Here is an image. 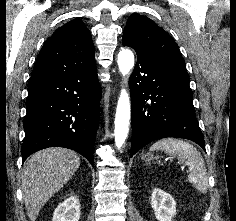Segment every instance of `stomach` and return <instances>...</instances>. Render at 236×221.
Listing matches in <instances>:
<instances>
[{
	"label": "stomach",
	"instance_id": "0dacf381",
	"mask_svg": "<svg viewBox=\"0 0 236 221\" xmlns=\"http://www.w3.org/2000/svg\"><path fill=\"white\" fill-rule=\"evenodd\" d=\"M146 156H148L149 158H152V155H150V154L144 155V156H142V158L144 159Z\"/></svg>",
	"mask_w": 236,
	"mask_h": 221
}]
</instances>
